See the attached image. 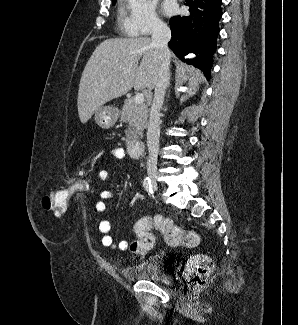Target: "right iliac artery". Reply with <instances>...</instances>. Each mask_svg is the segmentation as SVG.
Returning <instances> with one entry per match:
<instances>
[{
	"label": "right iliac artery",
	"instance_id": "82829eb1",
	"mask_svg": "<svg viewBox=\"0 0 298 325\" xmlns=\"http://www.w3.org/2000/svg\"><path fill=\"white\" fill-rule=\"evenodd\" d=\"M143 187L146 191L152 193V185H151V179L149 177H145L143 180Z\"/></svg>",
	"mask_w": 298,
	"mask_h": 325
}]
</instances>
